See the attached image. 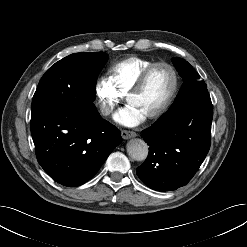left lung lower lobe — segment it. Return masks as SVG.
Here are the masks:
<instances>
[{
	"label": "left lung lower lobe",
	"instance_id": "0a47b994",
	"mask_svg": "<svg viewBox=\"0 0 247 247\" xmlns=\"http://www.w3.org/2000/svg\"><path fill=\"white\" fill-rule=\"evenodd\" d=\"M212 118L210 95L204 89L143 130L149 154L137 168L142 182L157 191L186 185L209 151Z\"/></svg>",
	"mask_w": 247,
	"mask_h": 247
}]
</instances>
